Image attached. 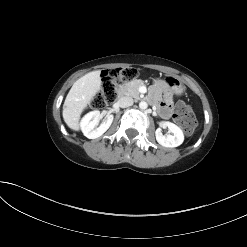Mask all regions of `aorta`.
Segmentation results:
<instances>
[{
  "label": "aorta",
  "instance_id": "aorta-1",
  "mask_svg": "<svg viewBox=\"0 0 247 247\" xmlns=\"http://www.w3.org/2000/svg\"><path fill=\"white\" fill-rule=\"evenodd\" d=\"M147 107H148L147 102L141 101V102L139 103V108H140V109L145 110V109H147Z\"/></svg>",
  "mask_w": 247,
  "mask_h": 247
}]
</instances>
